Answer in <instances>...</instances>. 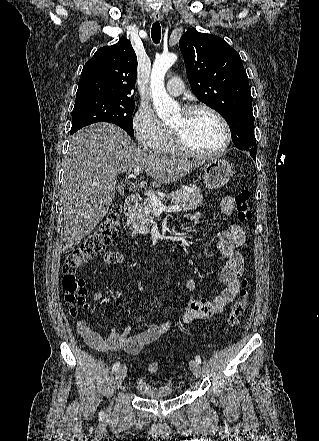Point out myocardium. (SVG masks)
Masks as SVG:
<instances>
[{
	"label": "myocardium",
	"instance_id": "1",
	"mask_svg": "<svg viewBox=\"0 0 319 441\" xmlns=\"http://www.w3.org/2000/svg\"><path fill=\"white\" fill-rule=\"evenodd\" d=\"M198 111H206L212 114L222 125L225 133V141L221 147L210 152H201L190 147L184 139L183 132L180 128L168 126L172 143L178 153L196 158H212L222 154L229 146L232 140L231 129L224 116L216 109L205 104H189L182 108V112L186 118Z\"/></svg>",
	"mask_w": 319,
	"mask_h": 441
}]
</instances>
